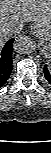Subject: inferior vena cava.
<instances>
[{"instance_id": "1", "label": "inferior vena cava", "mask_w": 51, "mask_h": 153, "mask_svg": "<svg viewBox=\"0 0 51 153\" xmlns=\"http://www.w3.org/2000/svg\"><path fill=\"white\" fill-rule=\"evenodd\" d=\"M23 29V25H17L12 31L0 32V44L7 41L8 38H11L13 35L20 34Z\"/></svg>"}]
</instances>
